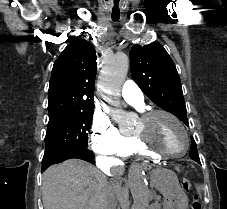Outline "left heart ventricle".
Returning a JSON list of instances; mask_svg holds the SVG:
<instances>
[{
	"mask_svg": "<svg viewBox=\"0 0 227 209\" xmlns=\"http://www.w3.org/2000/svg\"><path fill=\"white\" fill-rule=\"evenodd\" d=\"M134 133L139 134L151 148L163 153L180 151L185 144L180 127L163 114H157L143 122L139 120Z\"/></svg>",
	"mask_w": 227,
	"mask_h": 209,
	"instance_id": "1",
	"label": "left heart ventricle"
}]
</instances>
